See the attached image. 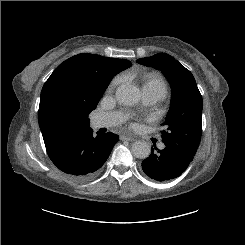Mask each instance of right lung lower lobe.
<instances>
[{
  "mask_svg": "<svg viewBox=\"0 0 245 245\" xmlns=\"http://www.w3.org/2000/svg\"><path fill=\"white\" fill-rule=\"evenodd\" d=\"M118 139L111 133L93 137L89 128L70 139L50 159L73 179L88 180L98 173Z\"/></svg>",
  "mask_w": 245,
  "mask_h": 245,
  "instance_id": "1",
  "label": "right lung lower lobe"
}]
</instances>
